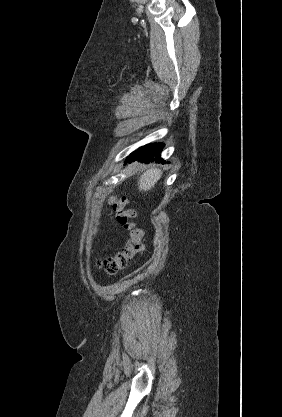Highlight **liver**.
Listing matches in <instances>:
<instances>
[{
    "mask_svg": "<svg viewBox=\"0 0 282 417\" xmlns=\"http://www.w3.org/2000/svg\"><path fill=\"white\" fill-rule=\"evenodd\" d=\"M162 174L161 168H147L143 174H140L138 180L139 190H151Z\"/></svg>",
    "mask_w": 282,
    "mask_h": 417,
    "instance_id": "liver-1",
    "label": "liver"
}]
</instances>
